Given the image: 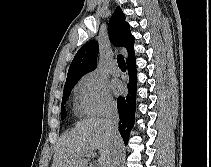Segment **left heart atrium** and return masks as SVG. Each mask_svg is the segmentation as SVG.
I'll use <instances>...</instances> for the list:
<instances>
[{
  "mask_svg": "<svg viewBox=\"0 0 211 167\" xmlns=\"http://www.w3.org/2000/svg\"><path fill=\"white\" fill-rule=\"evenodd\" d=\"M110 89L114 94H120L123 90V86L119 81L114 80L110 83Z\"/></svg>",
  "mask_w": 211,
  "mask_h": 167,
  "instance_id": "39dd6f15",
  "label": "left heart atrium"
}]
</instances>
